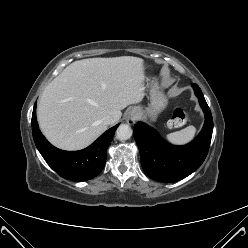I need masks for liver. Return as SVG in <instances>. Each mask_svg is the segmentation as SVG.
I'll return each instance as SVG.
<instances>
[{
    "label": "liver",
    "instance_id": "6515ba94",
    "mask_svg": "<svg viewBox=\"0 0 248 248\" xmlns=\"http://www.w3.org/2000/svg\"><path fill=\"white\" fill-rule=\"evenodd\" d=\"M145 62L133 56L89 58L67 66L43 91L37 106L40 129L56 147L79 150L113 124L121 110L145 97Z\"/></svg>",
    "mask_w": 248,
    "mask_h": 248
}]
</instances>
